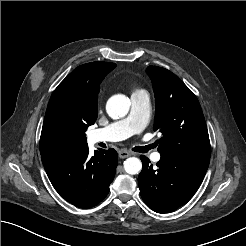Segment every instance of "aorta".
Listing matches in <instances>:
<instances>
[{
    "label": "aorta",
    "mask_w": 246,
    "mask_h": 246,
    "mask_svg": "<svg viewBox=\"0 0 246 246\" xmlns=\"http://www.w3.org/2000/svg\"><path fill=\"white\" fill-rule=\"evenodd\" d=\"M130 109V100L124 95L111 97L106 105L107 113L113 118H121L127 115ZM126 173L135 175L142 169V162L136 157L127 158L124 161Z\"/></svg>",
    "instance_id": "762f6f07"
}]
</instances>
